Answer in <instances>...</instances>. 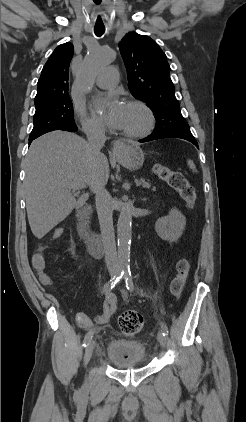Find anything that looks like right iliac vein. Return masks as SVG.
I'll return each instance as SVG.
<instances>
[{"instance_id":"obj_1","label":"right iliac vein","mask_w":246,"mask_h":422,"mask_svg":"<svg viewBox=\"0 0 246 422\" xmlns=\"http://www.w3.org/2000/svg\"><path fill=\"white\" fill-rule=\"evenodd\" d=\"M96 343L94 340H91L85 350L84 354V364L86 365L92 357L93 351L95 349Z\"/></svg>"}]
</instances>
